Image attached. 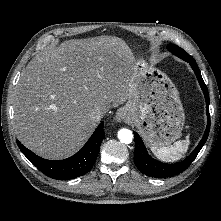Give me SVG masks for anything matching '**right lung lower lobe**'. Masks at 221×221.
Listing matches in <instances>:
<instances>
[{"label": "right lung lower lobe", "instance_id": "98d812e1", "mask_svg": "<svg viewBox=\"0 0 221 221\" xmlns=\"http://www.w3.org/2000/svg\"><path fill=\"white\" fill-rule=\"evenodd\" d=\"M104 136L103 123H101L79 152L60 161L43 159L24 147L20 141L16 142L21 152L46 176L57 180H67L82 176L92 168Z\"/></svg>", "mask_w": 221, "mask_h": 221}]
</instances>
